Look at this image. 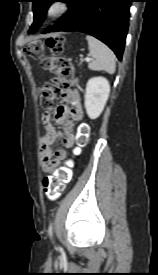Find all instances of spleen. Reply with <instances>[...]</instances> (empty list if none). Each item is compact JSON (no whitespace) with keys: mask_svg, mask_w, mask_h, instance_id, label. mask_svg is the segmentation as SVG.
Instances as JSON below:
<instances>
[{"mask_svg":"<svg viewBox=\"0 0 158 275\" xmlns=\"http://www.w3.org/2000/svg\"><path fill=\"white\" fill-rule=\"evenodd\" d=\"M86 39L89 45V52L94 58V60L88 64L89 69L96 71L103 70L109 74H113L116 68L113 51L95 37L87 35Z\"/></svg>","mask_w":158,"mask_h":275,"instance_id":"obj_1","label":"spleen"}]
</instances>
